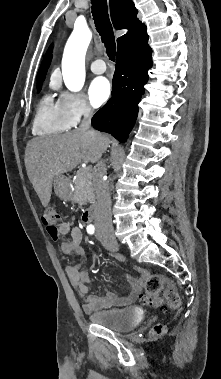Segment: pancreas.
<instances>
[{"mask_svg": "<svg viewBox=\"0 0 221 379\" xmlns=\"http://www.w3.org/2000/svg\"><path fill=\"white\" fill-rule=\"evenodd\" d=\"M73 188L75 201L84 204L94 200L92 174L88 170L84 172V169H81L77 172L73 180Z\"/></svg>", "mask_w": 221, "mask_h": 379, "instance_id": "obj_1", "label": "pancreas"}]
</instances>
